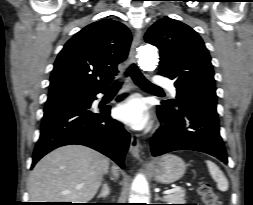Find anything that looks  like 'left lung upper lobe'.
Listing matches in <instances>:
<instances>
[{"mask_svg": "<svg viewBox=\"0 0 253 205\" xmlns=\"http://www.w3.org/2000/svg\"><path fill=\"white\" fill-rule=\"evenodd\" d=\"M147 43L160 50V69L175 81L176 99L166 101L178 106L181 100L199 99L216 104V88L211 58L200 36L188 25L162 18L145 34Z\"/></svg>", "mask_w": 253, "mask_h": 205, "instance_id": "1", "label": "left lung upper lobe"}]
</instances>
